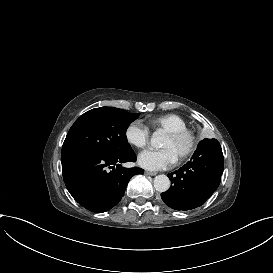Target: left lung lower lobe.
<instances>
[{
	"label": "left lung lower lobe",
	"mask_w": 273,
	"mask_h": 273,
	"mask_svg": "<svg viewBox=\"0 0 273 273\" xmlns=\"http://www.w3.org/2000/svg\"><path fill=\"white\" fill-rule=\"evenodd\" d=\"M224 168L220 143L204 139L190 161L177 171L168 174L173 185L161 198L170 208L190 210L203 205L218 188Z\"/></svg>",
	"instance_id": "0a47b994"
}]
</instances>
